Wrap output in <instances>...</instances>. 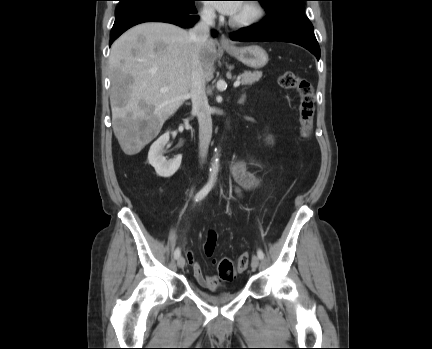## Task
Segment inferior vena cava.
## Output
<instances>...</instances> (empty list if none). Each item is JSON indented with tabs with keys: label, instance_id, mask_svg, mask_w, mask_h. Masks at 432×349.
Returning a JSON list of instances; mask_svg holds the SVG:
<instances>
[{
	"label": "inferior vena cava",
	"instance_id": "inferior-vena-cava-1",
	"mask_svg": "<svg viewBox=\"0 0 432 349\" xmlns=\"http://www.w3.org/2000/svg\"><path fill=\"white\" fill-rule=\"evenodd\" d=\"M215 12L205 9L200 15L199 22L189 31V37L195 48L192 57L191 86L189 97L192 101V112L197 115L199 122V156L202 162L208 152L212 137L211 110L205 92L206 79L199 59V50L210 40V29L214 25Z\"/></svg>",
	"mask_w": 432,
	"mask_h": 349
}]
</instances>
